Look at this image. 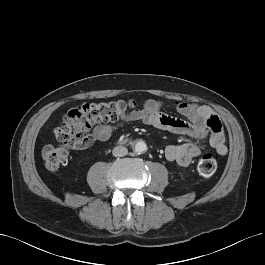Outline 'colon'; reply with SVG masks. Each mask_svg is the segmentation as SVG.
<instances>
[{
    "label": "colon",
    "mask_w": 265,
    "mask_h": 265,
    "mask_svg": "<svg viewBox=\"0 0 265 265\" xmlns=\"http://www.w3.org/2000/svg\"><path fill=\"white\" fill-rule=\"evenodd\" d=\"M135 101L96 102L76 106L63 116L61 123L54 128L57 140L69 147L71 144L84 145L89 140L91 127L98 122H118L127 117L136 108ZM209 126L216 134L221 132L219 119L212 116ZM65 146L47 145L42 151L45 167L55 171L68 161L69 151ZM198 171L209 177L217 170V160L212 153L203 154L198 160Z\"/></svg>",
    "instance_id": "5ec220e1"
}]
</instances>
